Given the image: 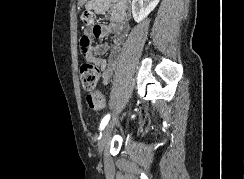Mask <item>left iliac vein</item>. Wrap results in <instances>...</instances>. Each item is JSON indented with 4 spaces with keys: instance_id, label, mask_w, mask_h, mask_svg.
<instances>
[{
    "instance_id": "4c4485c4",
    "label": "left iliac vein",
    "mask_w": 244,
    "mask_h": 179,
    "mask_svg": "<svg viewBox=\"0 0 244 179\" xmlns=\"http://www.w3.org/2000/svg\"><path fill=\"white\" fill-rule=\"evenodd\" d=\"M118 118H113L107 126L104 128V131L102 133V137L98 143V150L100 155L102 154L103 150L105 149L107 143L109 142L110 136L112 134L113 128L117 124Z\"/></svg>"
}]
</instances>
